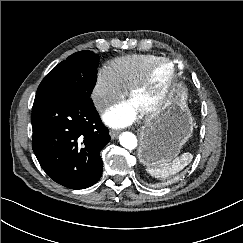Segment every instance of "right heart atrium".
Instances as JSON below:
<instances>
[{"label": "right heart atrium", "mask_w": 243, "mask_h": 243, "mask_svg": "<svg viewBox=\"0 0 243 243\" xmlns=\"http://www.w3.org/2000/svg\"><path fill=\"white\" fill-rule=\"evenodd\" d=\"M124 90L112 79L104 69L97 73L91 92L92 101L98 111H104L119 101Z\"/></svg>", "instance_id": "obj_1"}]
</instances>
